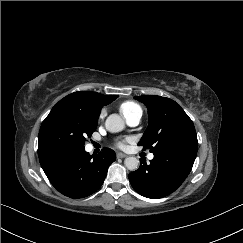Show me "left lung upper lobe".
<instances>
[{
  "mask_svg": "<svg viewBox=\"0 0 243 243\" xmlns=\"http://www.w3.org/2000/svg\"><path fill=\"white\" fill-rule=\"evenodd\" d=\"M148 109L149 125L138 145L150 152L183 141H197L194 124L184 110L170 98L144 95L135 97Z\"/></svg>",
  "mask_w": 243,
  "mask_h": 243,
  "instance_id": "1",
  "label": "left lung upper lobe"
}]
</instances>
